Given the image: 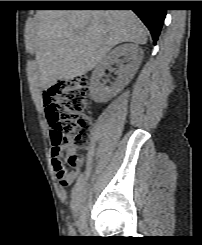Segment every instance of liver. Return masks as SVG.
<instances>
[{"mask_svg": "<svg viewBox=\"0 0 202 245\" xmlns=\"http://www.w3.org/2000/svg\"><path fill=\"white\" fill-rule=\"evenodd\" d=\"M32 39L44 90L85 75L122 42L145 44L147 32L131 10H42Z\"/></svg>", "mask_w": 202, "mask_h": 245, "instance_id": "liver-1", "label": "liver"}]
</instances>
